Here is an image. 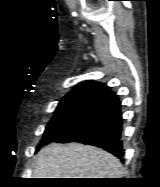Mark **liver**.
<instances>
[{"mask_svg":"<svg viewBox=\"0 0 160 187\" xmlns=\"http://www.w3.org/2000/svg\"><path fill=\"white\" fill-rule=\"evenodd\" d=\"M34 178H120V161L90 145L49 144L42 148L33 166Z\"/></svg>","mask_w":160,"mask_h":187,"instance_id":"1","label":"liver"}]
</instances>
